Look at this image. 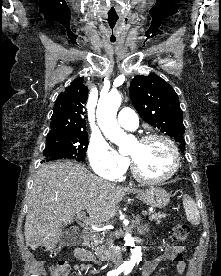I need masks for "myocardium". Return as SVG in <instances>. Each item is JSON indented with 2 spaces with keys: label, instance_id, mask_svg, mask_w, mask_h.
I'll return each instance as SVG.
<instances>
[{
  "label": "myocardium",
  "instance_id": "1",
  "mask_svg": "<svg viewBox=\"0 0 221 276\" xmlns=\"http://www.w3.org/2000/svg\"><path fill=\"white\" fill-rule=\"evenodd\" d=\"M154 139L162 140L169 146V148L172 152V155H173L174 163H173V167H172L171 171L169 173H167L166 175L161 176V177H149V176L144 175L141 172L137 163L131 157L130 162H131L132 174L136 179H138L139 181L144 182V183H161V182L167 181L170 178H172L173 176H175L180 168V153H179L178 147L175 144V142L168 136H166L164 134H160V133H151V134H146V135L142 136L138 142L145 143V142H148V141H151Z\"/></svg>",
  "mask_w": 221,
  "mask_h": 276
}]
</instances>
